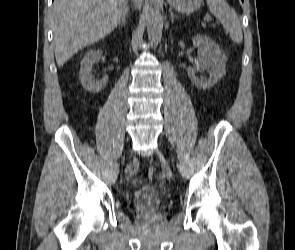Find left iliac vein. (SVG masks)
I'll list each match as a JSON object with an SVG mask.
<instances>
[{"instance_id":"obj_1","label":"left iliac vein","mask_w":295,"mask_h":250,"mask_svg":"<svg viewBox=\"0 0 295 250\" xmlns=\"http://www.w3.org/2000/svg\"><path fill=\"white\" fill-rule=\"evenodd\" d=\"M157 152L161 157L162 167H163L164 172L166 173L168 178H172V171H171V168H170L166 158L162 155V153L160 151H157Z\"/></svg>"}]
</instances>
